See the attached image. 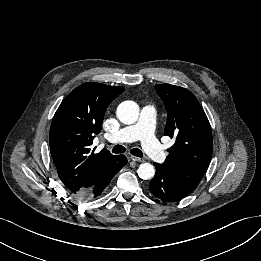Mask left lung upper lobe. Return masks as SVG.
Returning a JSON list of instances; mask_svg holds the SVG:
<instances>
[{
  "instance_id": "obj_1",
  "label": "left lung upper lobe",
  "mask_w": 261,
  "mask_h": 261,
  "mask_svg": "<svg viewBox=\"0 0 261 261\" xmlns=\"http://www.w3.org/2000/svg\"><path fill=\"white\" fill-rule=\"evenodd\" d=\"M168 118L164 135L175 138L164 167L171 178L192 193L205 174L212 156L213 140L208 118L196 97L187 89L156 85Z\"/></svg>"
}]
</instances>
